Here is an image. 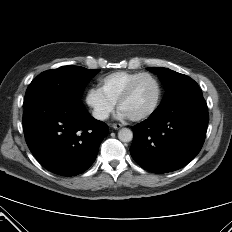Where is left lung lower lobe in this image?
Masks as SVG:
<instances>
[{
  "label": "left lung lower lobe",
  "mask_w": 232,
  "mask_h": 232,
  "mask_svg": "<svg viewBox=\"0 0 232 232\" xmlns=\"http://www.w3.org/2000/svg\"><path fill=\"white\" fill-rule=\"evenodd\" d=\"M208 121L202 91L192 92L133 127L131 156L153 173L180 169L201 150Z\"/></svg>",
  "instance_id": "obj_1"
}]
</instances>
